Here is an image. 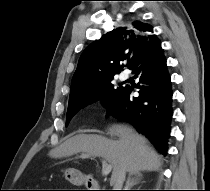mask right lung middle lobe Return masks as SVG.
Wrapping results in <instances>:
<instances>
[{
    "instance_id": "1",
    "label": "right lung middle lobe",
    "mask_w": 210,
    "mask_h": 191,
    "mask_svg": "<svg viewBox=\"0 0 210 191\" xmlns=\"http://www.w3.org/2000/svg\"><path fill=\"white\" fill-rule=\"evenodd\" d=\"M113 77L114 75L103 80L98 86L88 93L69 100L66 125L72 119V117L85 106L101 100L103 105L107 107L116 99L124 87H116L114 84H112Z\"/></svg>"
}]
</instances>
